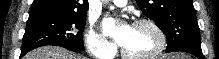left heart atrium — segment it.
I'll return each mask as SVG.
<instances>
[{"label":"left heart atrium","instance_id":"39dd6f15","mask_svg":"<svg viewBox=\"0 0 219 59\" xmlns=\"http://www.w3.org/2000/svg\"><path fill=\"white\" fill-rule=\"evenodd\" d=\"M103 28L105 33L108 36L112 37L115 40V42L121 46H123L126 43L132 31V26H130L129 24L116 26L112 19H106L103 22Z\"/></svg>","mask_w":219,"mask_h":59}]
</instances>
